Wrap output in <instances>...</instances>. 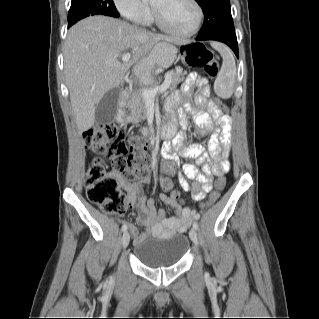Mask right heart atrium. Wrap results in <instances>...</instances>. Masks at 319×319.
Instances as JSON below:
<instances>
[{
  "mask_svg": "<svg viewBox=\"0 0 319 319\" xmlns=\"http://www.w3.org/2000/svg\"><path fill=\"white\" fill-rule=\"evenodd\" d=\"M118 11L128 20L147 23L149 21L150 7L142 0H114Z\"/></svg>",
  "mask_w": 319,
  "mask_h": 319,
  "instance_id": "1",
  "label": "right heart atrium"
}]
</instances>
